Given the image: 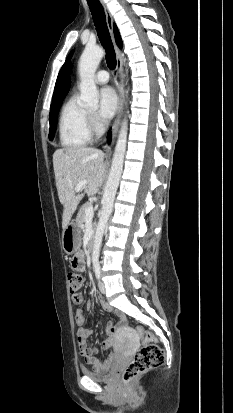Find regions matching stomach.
I'll list each match as a JSON object with an SVG mask.
<instances>
[{
	"label": "stomach",
	"mask_w": 233,
	"mask_h": 413,
	"mask_svg": "<svg viewBox=\"0 0 233 413\" xmlns=\"http://www.w3.org/2000/svg\"><path fill=\"white\" fill-rule=\"evenodd\" d=\"M80 227L75 224H69L63 231L62 247L67 254L77 252L80 247Z\"/></svg>",
	"instance_id": "obj_1"
}]
</instances>
